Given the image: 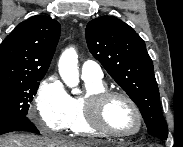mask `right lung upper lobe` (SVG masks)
<instances>
[{"label":"right lung upper lobe","mask_w":183,"mask_h":147,"mask_svg":"<svg viewBox=\"0 0 183 147\" xmlns=\"http://www.w3.org/2000/svg\"><path fill=\"white\" fill-rule=\"evenodd\" d=\"M60 37V24L47 16L21 22L0 45V83L44 77Z\"/></svg>","instance_id":"right-lung-upper-lobe-1"}]
</instances>
